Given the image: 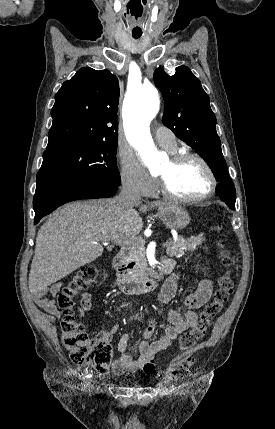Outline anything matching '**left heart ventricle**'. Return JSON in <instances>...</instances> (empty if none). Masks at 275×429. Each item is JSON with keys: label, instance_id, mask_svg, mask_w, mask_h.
I'll return each mask as SVG.
<instances>
[{"label": "left heart ventricle", "instance_id": "b2bd125f", "mask_svg": "<svg viewBox=\"0 0 275 429\" xmlns=\"http://www.w3.org/2000/svg\"><path fill=\"white\" fill-rule=\"evenodd\" d=\"M156 175L164 180L171 192L182 197H200L210 186L207 172L195 160L173 164L169 159L157 168Z\"/></svg>", "mask_w": 275, "mask_h": 429}]
</instances>
